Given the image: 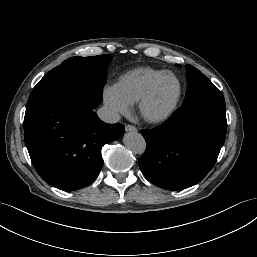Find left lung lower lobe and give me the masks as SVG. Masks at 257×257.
I'll list each match as a JSON object with an SVG mask.
<instances>
[{"mask_svg": "<svg viewBox=\"0 0 257 257\" xmlns=\"http://www.w3.org/2000/svg\"><path fill=\"white\" fill-rule=\"evenodd\" d=\"M227 129L225 100L180 107L165 122L141 130L146 150L138 160L142 173L158 187L188 188L214 166Z\"/></svg>", "mask_w": 257, "mask_h": 257, "instance_id": "0a47b994", "label": "left lung lower lobe"}]
</instances>
